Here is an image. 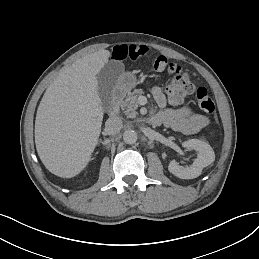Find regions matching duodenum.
Masks as SVG:
<instances>
[{"instance_id": "1", "label": "duodenum", "mask_w": 259, "mask_h": 259, "mask_svg": "<svg viewBox=\"0 0 259 259\" xmlns=\"http://www.w3.org/2000/svg\"><path fill=\"white\" fill-rule=\"evenodd\" d=\"M125 95L124 87H116L112 93L111 101L108 106V114L113 116L118 112L120 102Z\"/></svg>"}]
</instances>
